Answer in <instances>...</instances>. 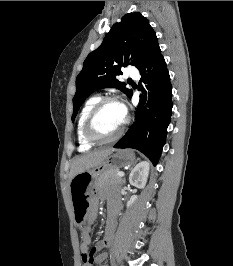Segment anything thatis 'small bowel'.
<instances>
[{"mask_svg":"<svg viewBox=\"0 0 233 266\" xmlns=\"http://www.w3.org/2000/svg\"><path fill=\"white\" fill-rule=\"evenodd\" d=\"M110 209L113 208L116 212L119 208V201L116 199L109 200ZM98 202L93 200L90 212L88 215L89 222H93L97 214ZM116 222L115 218H109L105 228V234L102 240L97 242L93 247L90 248L91 244V235L90 229L86 228L82 230V240H81V256L85 253H90L92 255V260L89 264H84V266H93L94 264H103L107 258V254L101 252L104 248H107L111 245V241L115 232ZM83 262V261H82ZM106 266V265H103Z\"/></svg>","mask_w":233,"mask_h":266,"instance_id":"c3829d8e","label":"small bowel"}]
</instances>
